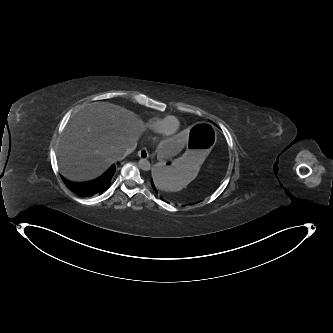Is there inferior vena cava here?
<instances>
[{
    "label": "inferior vena cava",
    "mask_w": 333,
    "mask_h": 333,
    "mask_svg": "<svg viewBox=\"0 0 333 333\" xmlns=\"http://www.w3.org/2000/svg\"><path fill=\"white\" fill-rule=\"evenodd\" d=\"M135 148H129L127 149L122 156H119L116 160H123L126 156H128L129 154H131L134 151Z\"/></svg>",
    "instance_id": "1"
}]
</instances>
